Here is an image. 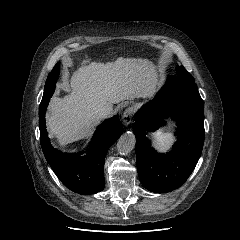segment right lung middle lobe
Segmentation results:
<instances>
[{"label":"right lung middle lobe","mask_w":240,"mask_h":240,"mask_svg":"<svg viewBox=\"0 0 240 240\" xmlns=\"http://www.w3.org/2000/svg\"><path fill=\"white\" fill-rule=\"evenodd\" d=\"M58 76H59V62L54 66L53 70L48 75V78L45 83L44 94H43L42 101L40 103L39 110L46 107V105L49 103L50 98L54 93L55 83H56Z\"/></svg>","instance_id":"right-lung-middle-lobe-1"}]
</instances>
